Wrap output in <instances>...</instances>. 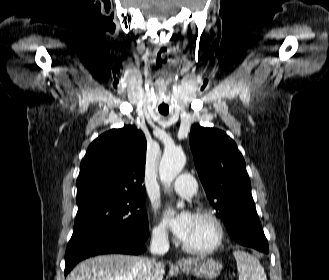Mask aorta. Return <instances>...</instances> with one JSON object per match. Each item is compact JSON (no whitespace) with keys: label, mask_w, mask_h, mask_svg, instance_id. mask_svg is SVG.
<instances>
[{"label":"aorta","mask_w":329,"mask_h":280,"mask_svg":"<svg viewBox=\"0 0 329 280\" xmlns=\"http://www.w3.org/2000/svg\"><path fill=\"white\" fill-rule=\"evenodd\" d=\"M186 163V156L182 150L178 148L165 149L160 166V181L164 185H170L175 177L182 171ZM178 208L184 207V204L178 203Z\"/></svg>","instance_id":"1"}]
</instances>
